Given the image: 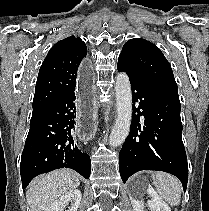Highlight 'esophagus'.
<instances>
[{"mask_svg":"<svg viewBox=\"0 0 209 211\" xmlns=\"http://www.w3.org/2000/svg\"><path fill=\"white\" fill-rule=\"evenodd\" d=\"M94 67L92 59L85 56L83 64L77 70L78 89L75 93L74 106L76 109V130L78 133L77 141H90L91 133H96L97 121L99 120L97 99L95 91L94 77H92Z\"/></svg>","mask_w":209,"mask_h":211,"instance_id":"esophagus-1","label":"esophagus"}]
</instances>
